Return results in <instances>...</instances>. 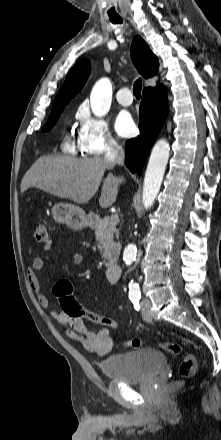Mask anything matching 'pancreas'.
<instances>
[{
	"label": "pancreas",
	"mask_w": 221,
	"mask_h": 440,
	"mask_svg": "<svg viewBox=\"0 0 221 440\" xmlns=\"http://www.w3.org/2000/svg\"><path fill=\"white\" fill-rule=\"evenodd\" d=\"M95 234L101 246L99 250L104 251V256H111L112 259H117L119 254V245L114 241V236L118 238L119 232L115 225L110 223V217L106 216L103 219L96 221L94 224Z\"/></svg>",
	"instance_id": "pancreas-1"
}]
</instances>
